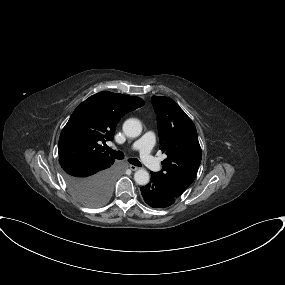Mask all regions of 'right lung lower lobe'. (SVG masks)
Returning <instances> with one entry per match:
<instances>
[{
    "instance_id": "98d812e1",
    "label": "right lung lower lobe",
    "mask_w": 285,
    "mask_h": 285,
    "mask_svg": "<svg viewBox=\"0 0 285 285\" xmlns=\"http://www.w3.org/2000/svg\"><path fill=\"white\" fill-rule=\"evenodd\" d=\"M114 161V159L83 160L66 166L63 168L66 182L68 186L77 184L111 186L115 177V170L112 166Z\"/></svg>"
}]
</instances>
